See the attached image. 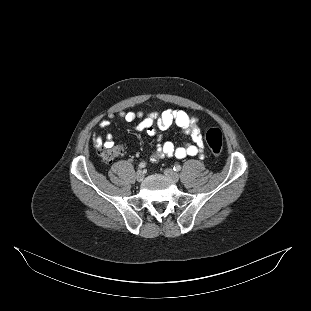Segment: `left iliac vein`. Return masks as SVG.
Listing matches in <instances>:
<instances>
[{"label":"left iliac vein","mask_w":311,"mask_h":311,"mask_svg":"<svg viewBox=\"0 0 311 311\" xmlns=\"http://www.w3.org/2000/svg\"><path fill=\"white\" fill-rule=\"evenodd\" d=\"M164 174H165L171 181H173V182H175V183L179 181V175H178L176 172H174L172 169H169V168L165 169V170H164Z\"/></svg>","instance_id":"1"}]
</instances>
